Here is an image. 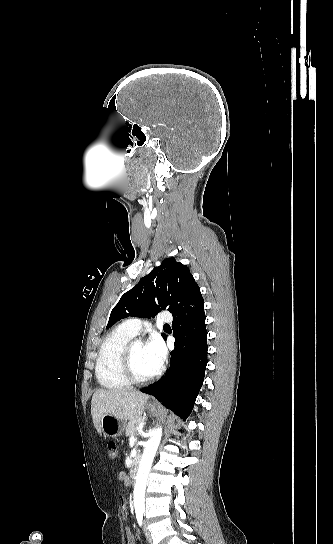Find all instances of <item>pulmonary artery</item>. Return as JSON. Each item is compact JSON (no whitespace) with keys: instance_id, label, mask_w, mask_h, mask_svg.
I'll list each match as a JSON object with an SVG mask.
<instances>
[{"instance_id":"obj_1","label":"pulmonary artery","mask_w":333,"mask_h":544,"mask_svg":"<svg viewBox=\"0 0 333 544\" xmlns=\"http://www.w3.org/2000/svg\"><path fill=\"white\" fill-rule=\"evenodd\" d=\"M161 320L165 322H170L172 320V316L168 312H163L161 314ZM144 324L145 323L139 318H131L124 321L121 325L124 329H126L128 332L135 336L141 331Z\"/></svg>"}]
</instances>
